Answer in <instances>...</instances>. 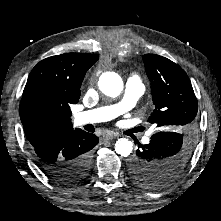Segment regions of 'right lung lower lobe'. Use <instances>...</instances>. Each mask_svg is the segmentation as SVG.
Returning a JSON list of instances; mask_svg holds the SVG:
<instances>
[{
  "label": "right lung lower lobe",
  "instance_id": "right-lung-lower-lobe-1",
  "mask_svg": "<svg viewBox=\"0 0 221 221\" xmlns=\"http://www.w3.org/2000/svg\"><path fill=\"white\" fill-rule=\"evenodd\" d=\"M99 142L97 136L81 129L63 131L32 146L40 169L62 184L82 180L90 167V150Z\"/></svg>",
  "mask_w": 221,
  "mask_h": 221
}]
</instances>
